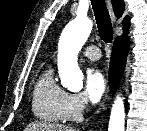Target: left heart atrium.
<instances>
[{"instance_id": "left-heart-atrium-1", "label": "left heart atrium", "mask_w": 147, "mask_h": 131, "mask_svg": "<svg viewBox=\"0 0 147 131\" xmlns=\"http://www.w3.org/2000/svg\"><path fill=\"white\" fill-rule=\"evenodd\" d=\"M85 87L89 99L94 103L98 102L106 90V79L102 72L98 69L90 70L87 74Z\"/></svg>"}]
</instances>
